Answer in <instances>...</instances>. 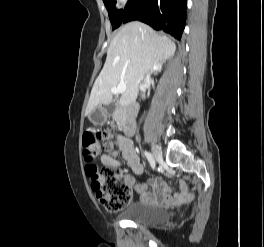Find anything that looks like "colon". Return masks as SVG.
<instances>
[{
	"instance_id": "1",
	"label": "colon",
	"mask_w": 264,
	"mask_h": 247,
	"mask_svg": "<svg viewBox=\"0 0 264 247\" xmlns=\"http://www.w3.org/2000/svg\"><path fill=\"white\" fill-rule=\"evenodd\" d=\"M96 140L103 142L105 150L115 152L111 130H99L95 134L88 133L84 136L86 172L90 178L92 191L107 211L117 212L123 210L131 202V189L119 170L106 167L100 168L95 164L98 157Z\"/></svg>"
}]
</instances>
